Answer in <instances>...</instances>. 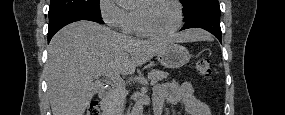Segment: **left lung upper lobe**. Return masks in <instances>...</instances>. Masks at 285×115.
<instances>
[{
    "label": "left lung upper lobe",
    "instance_id": "obj_1",
    "mask_svg": "<svg viewBox=\"0 0 285 115\" xmlns=\"http://www.w3.org/2000/svg\"><path fill=\"white\" fill-rule=\"evenodd\" d=\"M209 0H180V2L183 5V14L185 15L186 13H188L192 8H194L196 5L202 3V2H206Z\"/></svg>",
    "mask_w": 285,
    "mask_h": 115
}]
</instances>
